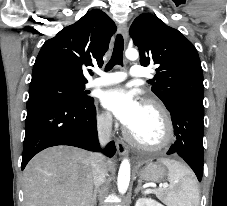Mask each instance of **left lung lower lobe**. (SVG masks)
Masks as SVG:
<instances>
[{
    "label": "left lung lower lobe",
    "instance_id": "left-lung-lower-lobe-1",
    "mask_svg": "<svg viewBox=\"0 0 227 206\" xmlns=\"http://www.w3.org/2000/svg\"><path fill=\"white\" fill-rule=\"evenodd\" d=\"M171 114L175 143L167 154H177L193 169L199 181L203 173V101L182 99L166 107Z\"/></svg>",
    "mask_w": 227,
    "mask_h": 206
}]
</instances>
